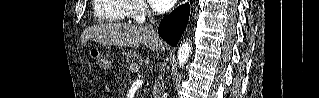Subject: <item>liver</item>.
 <instances>
[{
	"mask_svg": "<svg viewBox=\"0 0 319 98\" xmlns=\"http://www.w3.org/2000/svg\"><path fill=\"white\" fill-rule=\"evenodd\" d=\"M82 36L85 41L93 40L107 45L133 47L143 44L154 51L164 49L163 42L152 35L146 27L128 24L108 23L90 26L84 30Z\"/></svg>",
	"mask_w": 319,
	"mask_h": 98,
	"instance_id": "1",
	"label": "liver"
}]
</instances>
